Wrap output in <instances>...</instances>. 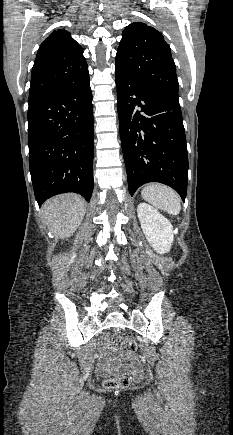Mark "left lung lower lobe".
<instances>
[{"instance_id": "0a47b994", "label": "left lung lower lobe", "mask_w": 233, "mask_h": 435, "mask_svg": "<svg viewBox=\"0 0 233 435\" xmlns=\"http://www.w3.org/2000/svg\"><path fill=\"white\" fill-rule=\"evenodd\" d=\"M119 128L129 193L160 182L186 198L188 154L179 99L152 93L115 66Z\"/></svg>"}]
</instances>
